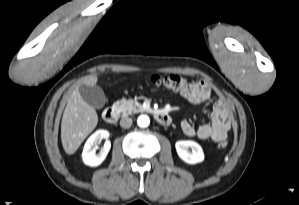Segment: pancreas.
<instances>
[{"label": "pancreas", "instance_id": "pancreas-1", "mask_svg": "<svg viewBox=\"0 0 299 205\" xmlns=\"http://www.w3.org/2000/svg\"><path fill=\"white\" fill-rule=\"evenodd\" d=\"M113 107L122 112L123 116L145 111L144 107L140 103L126 99L117 101L114 103Z\"/></svg>", "mask_w": 299, "mask_h": 205}]
</instances>
